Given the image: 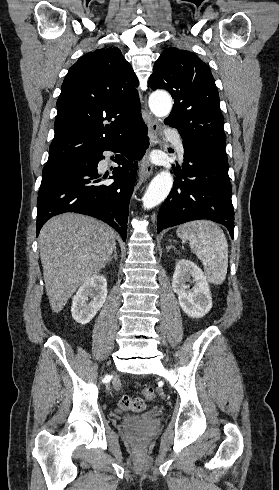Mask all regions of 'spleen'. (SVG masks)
I'll return each mask as SVG.
<instances>
[{
	"label": "spleen",
	"mask_w": 279,
	"mask_h": 490,
	"mask_svg": "<svg viewBox=\"0 0 279 490\" xmlns=\"http://www.w3.org/2000/svg\"><path fill=\"white\" fill-rule=\"evenodd\" d=\"M177 236L184 242L188 240L192 252L203 262L208 282L214 286L223 284L228 268V244L223 230L210 220H197L179 226Z\"/></svg>",
	"instance_id": "1"
}]
</instances>
